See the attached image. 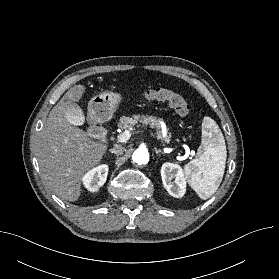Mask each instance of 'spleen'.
<instances>
[{"instance_id": "1", "label": "spleen", "mask_w": 279, "mask_h": 279, "mask_svg": "<svg viewBox=\"0 0 279 279\" xmlns=\"http://www.w3.org/2000/svg\"><path fill=\"white\" fill-rule=\"evenodd\" d=\"M226 158L225 139L219 126L210 117H204L197 157L184 166L190 186L201 199L206 200L217 191L224 175Z\"/></svg>"}]
</instances>
